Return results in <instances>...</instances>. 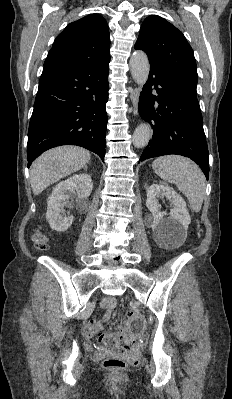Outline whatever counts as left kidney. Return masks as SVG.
I'll list each match as a JSON object with an SVG mask.
<instances>
[{
	"mask_svg": "<svg viewBox=\"0 0 232 399\" xmlns=\"http://www.w3.org/2000/svg\"><path fill=\"white\" fill-rule=\"evenodd\" d=\"M158 198H167L173 203V209H170V217L167 219L164 217L167 215L166 211H159ZM146 205L153 213L152 229L156 243H159L161 247L182 245L187 237V229L191 221L183 198L178 196L173 188H169L168 184L160 182V184H152L147 188Z\"/></svg>",
	"mask_w": 232,
	"mask_h": 399,
	"instance_id": "left-kidney-1",
	"label": "left kidney"
}]
</instances>
